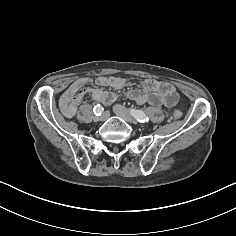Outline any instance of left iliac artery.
Returning a JSON list of instances; mask_svg holds the SVG:
<instances>
[{
    "label": "left iliac artery",
    "instance_id": "44dca946",
    "mask_svg": "<svg viewBox=\"0 0 236 236\" xmlns=\"http://www.w3.org/2000/svg\"><path fill=\"white\" fill-rule=\"evenodd\" d=\"M130 114L141 123L149 122V118L145 115V113L141 110L130 109Z\"/></svg>",
    "mask_w": 236,
    "mask_h": 236
}]
</instances>
